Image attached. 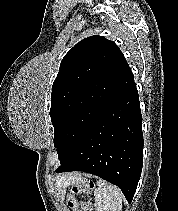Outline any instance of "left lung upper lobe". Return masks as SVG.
I'll use <instances>...</instances> for the list:
<instances>
[{"instance_id": "obj_1", "label": "left lung upper lobe", "mask_w": 178, "mask_h": 211, "mask_svg": "<svg viewBox=\"0 0 178 211\" xmlns=\"http://www.w3.org/2000/svg\"><path fill=\"white\" fill-rule=\"evenodd\" d=\"M128 67L118 46L99 35L81 40L64 56L50 109L60 163L94 126Z\"/></svg>"}]
</instances>
